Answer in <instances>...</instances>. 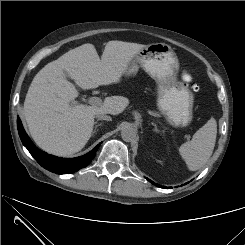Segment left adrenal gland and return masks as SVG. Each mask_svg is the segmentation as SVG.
I'll list each match as a JSON object with an SVG mask.
<instances>
[{
  "label": "left adrenal gland",
  "instance_id": "1",
  "mask_svg": "<svg viewBox=\"0 0 245 245\" xmlns=\"http://www.w3.org/2000/svg\"><path fill=\"white\" fill-rule=\"evenodd\" d=\"M151 124L154 126V131L157 133H160L161 131L157 128V125L154 122H151Z\"/></svg>",
  "mask_w": 245,
  "mask_h": 245
}]
</instances>
